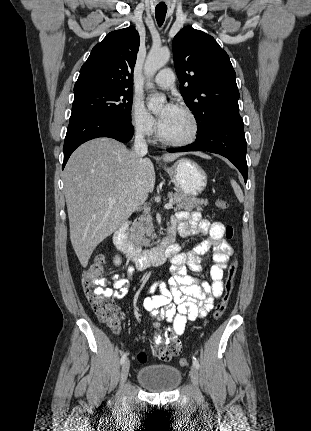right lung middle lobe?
I'll return each mask as SVG.
<instances>
[{
	"label": "right lung middle lobe",
	"instance_id": "obj_1",
	"mask_svg": "<svg viewBox=\"0 0 311 431\" xmlns=\"http://www.w3.org/2000/svg\"><path fill=\"white\" fill-rule=\"evenodd\" d=\"M133 91L83 89L74 91L70 120L84 115H105L121 120L131 119Z\"/></svg>",
	"mask_w": 311,
	"mask_h": 431
}]
</instances>
